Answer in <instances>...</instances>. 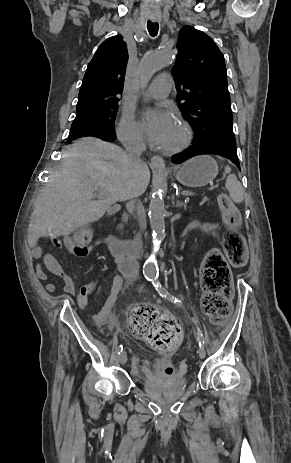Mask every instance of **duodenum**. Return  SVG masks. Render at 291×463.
Here are the masks:
<instances>
[{
	"mask_svg": "<svg viewBox=\"0 0 291 463\" xmlns=\"http://www.w3.org/2000/svg\"><path fill=\"white\" fill-rule=\"evenodd\" d=\"M123 206L118 203H111L108 212L114 215L116 212L121 211ZM106 244L114 256H132L136 257L140 254L139 237L135 236L132 239L122 240L113 234H108L106 237Z\"/></svg>",
	"mask_w": 291,
	"mask_h": 463,
	"instance_id": "obj_1",
	"label": "duodenum"
}]
</instances>
